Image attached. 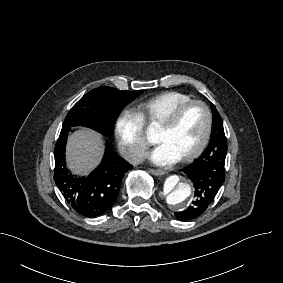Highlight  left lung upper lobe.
<instances>
[{
	"instance_id": "5c2ea615",
	"label": "left lung upper lobe",
	"mask_w": 283,
	"mask_h": 283,
	"mask_svg": "<svg viewBox=\"0 0 283 283\" xmlns=\"http://www.w3.org/2000/svg\"><path fill=\"white\" fill-rule=\"evenodd\" d=\"M211 110H212V114H213V120H215L217 122H222V118H221L220 114L218 113L216 107L213 104H211ZM221 135L225 136L224 132H221ZM217 136H220V135H217ZM211 138H214V132H212Z\"/></svg>"
}]
</instances>
